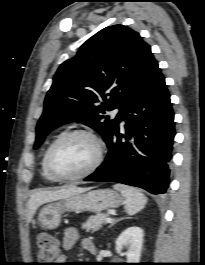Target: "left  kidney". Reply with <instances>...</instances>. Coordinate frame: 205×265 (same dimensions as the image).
<instances>
[{
  "label": "left kidney",
  "mask_w": 205,
  "mask_h": 265,
  "mask_svg": "<svg viewBox=\"0 0 205 265\" xmlns=\"http://www.w3.org/2000/svg\"><path fill=\"white\" fill-rule=\"evenodd\" d=\"M144 232L140 227L132 226L124 230L116 240V250L125 253L128 263H139L143 245Z\"/></svg>",
  "instance_id": "obj_1"
}]
</instances>
